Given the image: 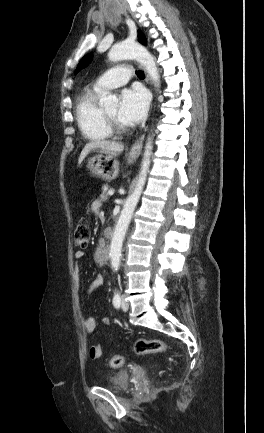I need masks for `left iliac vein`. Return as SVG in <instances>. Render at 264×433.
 <instances>
[{
    "label": "left iliac vein",
    "instance_id": "4c4485c4",
    "mask_svg": "<svg viewBox=\"0 0 264 433\" xmlns=\"http://www.w3.org/2000/svg\"><path fill=\"white\" fill-rule=\"evenodd\" d=\"M121 308L124 311H127L129 309V304H128V302L125 299V295H122V297H121Z\"/></svg>",
    "mask_w": 264,
    "mask_h": 433
}]
</instances>
